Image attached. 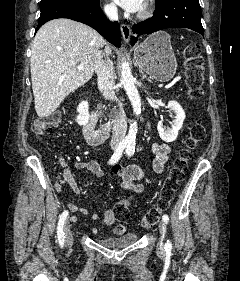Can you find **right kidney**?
I'll return each instance as SVG.
<instances>
[{"mask_svg":"<svg viewBox=\"0 0 240 281\" xmlns=\"http://www.w3.org/2000/svg\"><path fill=\"white\" fill-rule=\"evenodd\" d=\"M88 109H89V104L87 101H82L77 107V111L79 115L77 116L76 121L81 126L86 125L90 119Z\"/></svg>","mask_w":240,"mask_h":281,"instance_id":"1","label":"right kidney"}]
</instances>
